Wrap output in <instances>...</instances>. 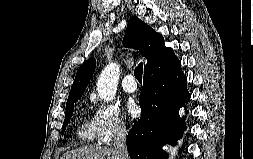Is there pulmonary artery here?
Here are the masks:
<instances>
[{
    "mask_svg": "<svg viewBox=\"0 0 253 159\" xmlns=\"http://www.w3.org/2000/svg\"><path fill=\"white\" fill-rule=\"evenodd\" d=\"M122 88L127 93H134L137 90V84L132 74H127L122 80Z\"/></svg>",
    "mask_w": 253,
    "mask_h": 159,
    "instance_id": "1",
    "label": "pulmonary artery"
}]
</instances>
